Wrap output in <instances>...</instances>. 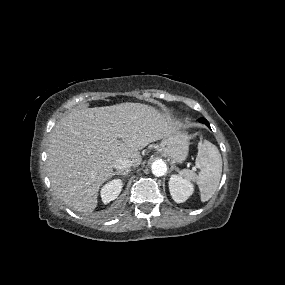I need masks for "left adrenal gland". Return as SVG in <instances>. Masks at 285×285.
Returning <instances> with one entry per match:
<instances>
[{"mask_svg":"<svg viewBox=\"0 0 285 285\" xmlns=\"http://www.w3.org/2000/svg\"><path fill=\"white\" fill-rule=\"evenodd\" d=\"M176 170V171H178V168L174 165V164H171V170Z\"/></svg>","mask_w":285,"mask_h":285,"instance_id":"a2214340","label":"left adrenal gland"}]
</instances>
